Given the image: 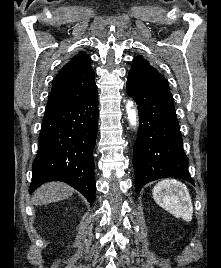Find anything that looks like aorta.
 I'll return each mask as SVG.
<instances>
[{
  "instance_id": "762f6f07",
  "label": "aorta",
  "mask_w": 221,
  "mask_h": 268,
  "mask_svg": "<svg viewBox=\"0 0 221 268\" xmlns=\"http://www.w3.org/2000/svg\"><path fill=\"white\" fill-rule=\"evenodd\" d=\"M126 112H127V117H128L130 125L133 127H136L137 126V113H136V110L134 108L132 101L127 102Z\"/></svg>"
}]
</instances>
